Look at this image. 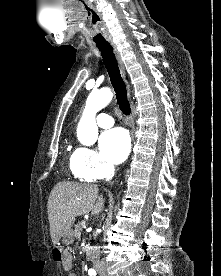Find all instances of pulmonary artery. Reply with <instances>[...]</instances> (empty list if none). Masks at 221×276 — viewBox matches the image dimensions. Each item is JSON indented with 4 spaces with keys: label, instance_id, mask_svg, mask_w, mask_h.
I'll return each instance as SVG.
<instances>
[{
    "label": "pulmonary artery",
    "instance_id": "pulmonary-artery-1",
    "mask_svg": "<svg viewBox=\"0 0 221 276\" xmlns=\"http://www.w3.org/2000/svg\"><path fill=\"white\" fill-rule=\"evenodd\" d=\"M96 122L98 126L102 128H109L114 124L112 117L104 113H101L97 116Z\"/></svg>",
    "mask_w": 221,
    "mask_h": 276
}]
</instances>
